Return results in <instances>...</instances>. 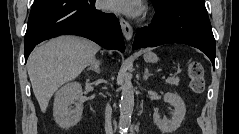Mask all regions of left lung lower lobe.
Wrapping results in <instances>:
<instances>
[{
    "label": "left lung lower lobe",
    "mask_w": 239,
    "mask_h": 134,
    "mask_svg": "<svg viewBox=\"0 0 239 134\" xmlns=\"http://www.w3.org/2000/svg\"><path fill=\"white\" fill-rule=\"evenodd\" d=\"M154 21L138 30L133 49L183 43L200 49L215 63V39L204 0H175L156 9Z\"/></svg>",
    "instance_id": "obj_1"
}]
</instances>
